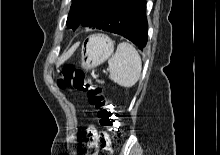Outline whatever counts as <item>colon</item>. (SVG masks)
<instances>
[{
    "label": "colon",
    "mask_w": 220,
    "mask_h": 155,
    "mask_svg": "<svg viewBox=\"0 0 220 155\" xmlns=\"http://www.w3.org/2000/svg\"><path fill=\"white\" fill-rule=\"evenodd\" d=\"M57 84L62 89L71 88L86 93L90 106L97 112L100 125L111 132L121 131L122 116L106 100L103 89L87 77L83 70L74 65L64 66L60 71ZM98 144L107 149L109 147L108 136L104 133L98 135L97 139L89 146L91 151L87 155H96L94 150Z\"/></svg>",
    "instance_id": "colon-1"
}]
</instances>
